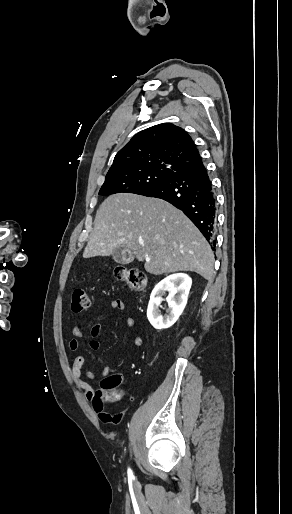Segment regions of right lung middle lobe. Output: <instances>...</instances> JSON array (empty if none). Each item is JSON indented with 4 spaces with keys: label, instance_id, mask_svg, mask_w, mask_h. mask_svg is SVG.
Returning a JSON list of instances; mask_svg holds the SVG:
<instances>
[{
    "label": "right lung middle lobe",
    "instance_id": "right-lung-middle-lobe-1",
    "mask_svg": "<svg viewBox=\"0 0 292 514\" xmlns=\"http://www.w3.org/2000/svg\"><path fill=\"white\" fill-rule=\"evenodd\" d=\"M172 173L144 172L131 175L106 177L99 195L108 196L115 193H134L143 195L167 180Z\"/></svg>",
    "mask_w": 292,
    "mask_h": 514
}]
</instances>
